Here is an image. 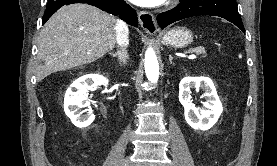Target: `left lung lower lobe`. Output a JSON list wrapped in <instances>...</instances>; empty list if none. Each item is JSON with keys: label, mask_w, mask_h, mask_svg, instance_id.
Wrapping results in <instances>:
<instances>
[{"label": "left lung lower lobe", "mask_w": 277, "mask_h": 166, "mask_svg": "<svg viewBox=\"0 0 277 166\" xmlns=\"http://www.w3.org/2000/svg\"><path fill=\"white\" fill-rule=\"evenodd\" d=\"M199 15L222 17L245 33L236 0H180L175 8L159 14L157 21L164 28L173 22Z\"/></svg>", "instance_id": "obj_1"}]
</instances>
